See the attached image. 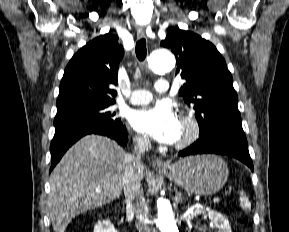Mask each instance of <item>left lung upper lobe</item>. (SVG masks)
I'll list each match as a JSON object with an SVG mask.
<instances>
[{
	"mask_svg": "<svg viewBox=\"0 0 289 232\" xmlns=\"http://www.w3.org/2000/svg\"><path fill=\"white\" fill-rule=\"evenodd\" d=\"M161 46L176 56V75L186 81L179 94L193 105L199 138L221 130H243L232 75L215 46L179 28L168 32Z\"/></svg>",
	"mask_w": 289,
	"mask_h": 232,
	"instance_id": "left-lung-upper-lobe-1",
	"label": "left lung upper lobe"
}]
</instances>
